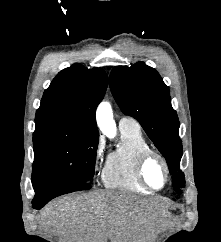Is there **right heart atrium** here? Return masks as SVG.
I'll list each match as a JSON object with an SVG mask.
<instances>
[{"instance_id": "obj_1", "label": "right heart atrium", "mask_w": 221, "mask_h": 242, "mask_svg": "<svg viewBox=\"0 0 221 242\" xmlns=\"http://www.w3.org/2000/svg\"><path fill=\"white\" fill-rule=\"evenodd\" d=\"M103 151H104V142L102 139H98L93 150V161L95 163H97L101 159L103 155Z\"/></svg>"}]
</instances>
